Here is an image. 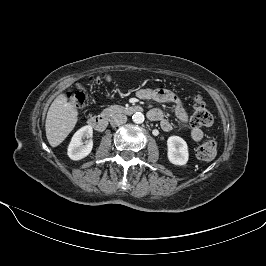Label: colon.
Here are the masks:
<instances>
[{"mask_svg": "<svg viewBox=\"0 0 266 266\" xmlns=\"http://www.w3.org/2000/svg\"><path fill=\"white\" fill-rule=\"evenodd\" d=\"M109 80V78H107ZM91 82L100 83V78H91ZM69 100L76 108H81L85 102V95L82 87L69 95ZM213 122V117L208 111L204 101L200 96H196L193 106L192 124L195 127L210 126ZM197 156L202 160H211L217 153V142L213 138H208L201 142L197 147Z\"/></svg>", "mask_w": 266, "mask_h": 266, "instance_id": "colon-1", "label": "colon"}]
</instances>
